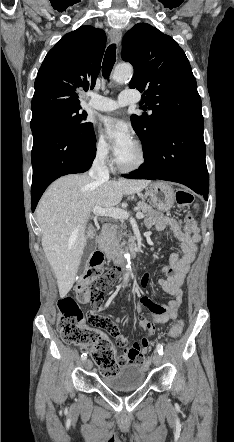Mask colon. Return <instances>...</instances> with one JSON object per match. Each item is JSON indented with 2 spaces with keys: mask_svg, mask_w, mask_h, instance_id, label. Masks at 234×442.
I'll return each mask as SVG.
<instances>
[{
  "mask_svg": "<svg viewBox=\"0 0 234 442\" xmlns=\"http://www.w3.org/2000/svg\"><path fill=\"white\" fill-rule=\"evenodd\" d=\"M176 202L181 208L188 207L192 201V194L184 189L176 191ZM189 220L191 217H187ZM103 254L94 253L90 259L89 268L78 280L75 286V298L68 297L59 303V314L57 328L62 340L67 344H74L90 350L94 363L100 368L104 377H112L117 374L121 359L118 360L112 341L99 328H89L88 321L84 324V315L79 307L81 304H91L95 311L89 314H98L102 306L105 292L113 286L120 277L121 266L113 265L106 272H103ZM146 307L153 312L160 311V305L150 299L145 301ZM183 330L181 321L175 323L170 331L171 338L180 336ZM115 339V337H113ZM117 345H120L117 343ZM142 368H149L148 361L142 360Z\"/></svg>",
  "mask_w": 234,
  "mask_h": 442,
  "instance_id": "colon-1",
  "label": "colon"
}]
</instances>
